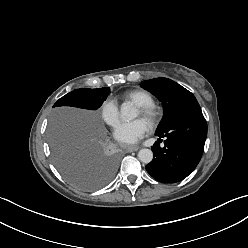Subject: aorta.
Here are the masks:
<instances>
[{
	"label": "aorta",
	"instance_id": "obj_1",
	"mask_svg": "<svg viewBox=\"0 0 248 248\" xmlns=\"http://www.w3.org/2000/svg\"><path fill=\"white\" fill-rule=\"evenodd\" d=\"M121 118L125 121L134 119L137 116V111L129 104L123 103L120 108ZM138 159L145 164H148L153 159V152L150 149H141L138 152Z\"/></svg>",
	"mask_w": 248,
	"mask_h": 248
}]
</instances>
